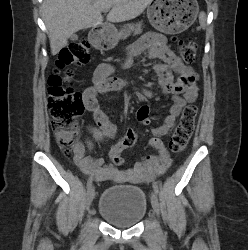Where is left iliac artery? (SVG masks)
<instances>
[{"instance_id":"obj_1","label":"left iliac artery","mask_w":248,"mask_h":250,"mask_svg":"<svg viewBox=\"0 0 248 250\" xmlns=\"http://www.w3.org/2000/svg\"><path fill=\"white\" fill-rule=\"evenodd\" d=\"M153 188H154L155 193L159 194V189H158L156 182H153Z\"/></svg>"}]
</instances>
